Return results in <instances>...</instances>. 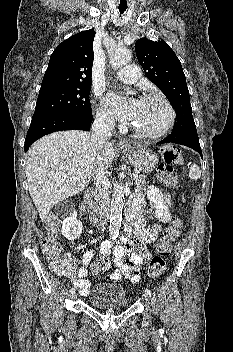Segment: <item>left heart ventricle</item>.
Masks as SVG:
<instances>
[{
	"instance_id": "obj_1",
	"label": "left heart ventricle",
	"mask_w": 233,
	"mask_h": 352,
	"mask_svg": "<svg viewBox=\"0 0 233 352\" xmlns=\"http://www.w3.org/2000/svg\"><path fill=\"white\" fill-rule=\"evenodd\" d=\"M168 118L169 112L160 100H140L132 125L145 132H155L166 124Z\"/></svg>"
}]
</instances>
